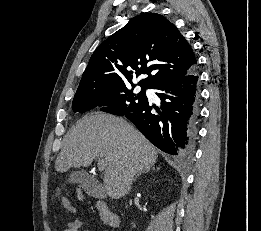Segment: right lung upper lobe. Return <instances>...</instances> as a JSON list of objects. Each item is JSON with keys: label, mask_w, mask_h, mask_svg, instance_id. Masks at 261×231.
Instances as JSON below:
<instances>
[{"label": "right lung upper lobe", "mask_w": 261, "mask_h": 231, "mask_svg": "<svg viewBox=\"0 0 261 231\" xmlns=\"http://www.w3.org/2000/svg\"><path fill=\"white\" fill-rule=\"evenodd\" d=\"M196 63L191 46L174 24L160 14L138 15L94 51L75 96L133 85L132 79L142 73L149 76L138 85L153 88L185 76Z\"/></svg>", "instance_id": "1"}]
</instances>
